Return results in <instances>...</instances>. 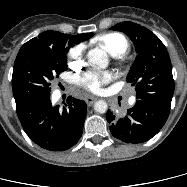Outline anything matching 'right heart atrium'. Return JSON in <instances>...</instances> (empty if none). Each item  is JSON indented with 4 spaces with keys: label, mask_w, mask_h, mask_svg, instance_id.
Listing matches in <instances>:
<instances>
[{
    "label": "right heart atrium",
    "mask_w": 187,
    "mask_h": 187,
    "mask_svg": "<svg viewBox=\"0 0 187 187\" xmlns=\"http://www.w3.org/2000/svg\"><path fill=\"white\" fill-rule=\"evenodd\" d=\"M84 50H85L84 45H78L71 50L70 59L72 61V64L78 65L81 63Z\"/></svg>",
    "instance_id": "obj_1"
}]
</instances>
